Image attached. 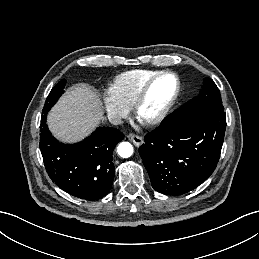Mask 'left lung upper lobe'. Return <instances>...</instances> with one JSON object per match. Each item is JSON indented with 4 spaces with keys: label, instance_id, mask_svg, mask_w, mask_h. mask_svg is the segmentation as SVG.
Segmentation results:
<instances>
[{
    "label": "left lung upper lobe",
    "instance_id": "5c2ea615",
    "mask_svg": "<svg viewBox=\"0 0 259 259\" xmlns=\"http://www.w3.org/2000/svg\"><path fill=\"white\" fill-rule=\"evenodd\" d=\"M203 83L204 86L200 94L175 110L174 113L164 119L161 125L167 124L180 116L196 110L209 109L223 111L224 107L222 105L220 91L216 84L209 78H205Z\"/></svg>",
    "mask_w": 259,
    "mask_h": 259
}]
</instances>
